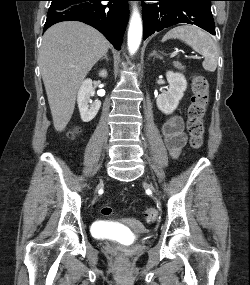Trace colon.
<instances>
[{
  "mask_svg": "<svg viewBox=\"0 0 250 285\" xmlns=\"http://www.w3.org/2000/svg\"><path fill=\"white\" fill-rule=\"evenodd\" d=\"M192 97L188 108L187 130L190 136V145L198 149L203 144L204 122L203 118L209 100L208 80L200 74H194L191 79ZM73 136V133H70ZM113 210L111 206H104L101 209L103 216H110ZM158 212L154 207H149L143 212L144 219L153 222L157 218ZM119 261L123 258L119 256Z\"/></svg>",
  "mask_w": 250,
  "mask_h": 285,
  "instance_id": "5ec220e1",
  "label": "colon"
}]
</instances>
